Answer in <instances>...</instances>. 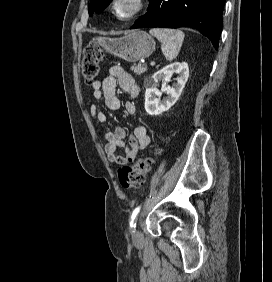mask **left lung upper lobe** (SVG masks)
Wrapping results in <instances>:
<instances>
[{"instance_id": "left-lung-upper-lobe-1", "label": "left lung upper lobe", "mask_w": 272, "mask_h": 282, "mask_svg": "<svg viewBox=\"0 0 272 282\" xmlns=\"http://www.w3.org/2000/svg\"><path fill=\"white\" fill-rule=\"evenodd\" d=\"M112 0H91L89 4V15L91 16L93 12H102Z\"/></svg>"}]
</instances>
